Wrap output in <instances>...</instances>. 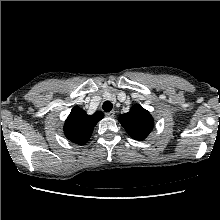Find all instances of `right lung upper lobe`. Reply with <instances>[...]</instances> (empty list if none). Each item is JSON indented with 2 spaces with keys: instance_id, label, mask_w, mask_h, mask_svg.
I'll list each match as a JSON object with an SVG mask.
<instances>
[{
  "instance_id": "obj_1",
  "label": "right lung upper lobe",
  "mask_w": 220,
  "mask_h": 220,
  "mask_svg": "<svg viewBox=\"0 0 220 220\" xmlns=\"http://www.w3.org/2000/svg\"><path fill=\"white\" fill-rule=\"evenodd\" d=\"M103 116L100 111L87 115L79 106H75L66 119L64 133L70 141L83 145L90 139L95 125Z\"/></svg>"
}]
</instances>
